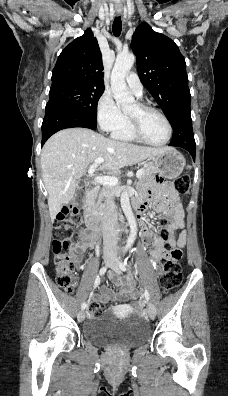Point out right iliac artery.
<instances>
[{
  "label": "right iliac artery",
  "mask_w": 228,
  "mask_h": 396,
  "mask_svg": "<svg viewBox=\"0 0 228 396\" xmlns=\"http://www.w3.org/2000/svg\"><path fill=\"white\" fill-rule=\"evenodd\" d=\"M106 271H107V267L105 266V267H102L101 269H100V271H99V274H100V276H103L105 273H106ZM96 286L99 284V281L97 280L96 282ZM86 303L84 302L83 304H82V306H81V308H82V310H84L85 308H86Z\"/></svg>",
  "instance_id": "1"
}]
</instances>
